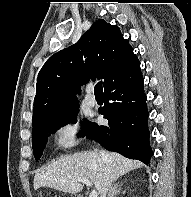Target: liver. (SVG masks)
Wrapping results in <instances>:
<instances>
[{
  "label": "liver",
  "instance_id": "obj_1",
  "mask_svg": "<svg viewBox=\"0 0 191 197\" xmlns=\"http://www.w3.org/2000/svg\"><path fill=\"white\" fill-rule=\"evenodd\" d=\"M105 162L98 151H83L64 156L44 167L34 176V189L50 187L62 192L77 194L83 189L78 179L87 178L101 195L106 178L116 181L124 174L142 166L117 153H107Z\"/></svg>",
  "mask_w": 191,
  "mask_h": 197
}]
</instances>
